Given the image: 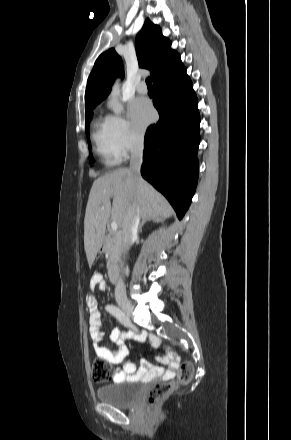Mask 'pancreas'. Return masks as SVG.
Instances as JSON below:
<instances>
[{"label": "pancreas", "instance_id": "obj_1", "mask_svg": "<svg viewBox=\"0 0 291 440\" xmlns=\"http://www.w3.org/2000/svg\"><path fill=\"white\" fill-rule=\"evenodd\" d=\"M103 249L108 255V265L115 264L119 261L122 249L121 237L117 233H108L104 237Z\"/></svg>", "mask_w": 291, "mask_h": 440}]
</instances>
